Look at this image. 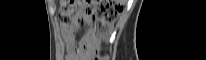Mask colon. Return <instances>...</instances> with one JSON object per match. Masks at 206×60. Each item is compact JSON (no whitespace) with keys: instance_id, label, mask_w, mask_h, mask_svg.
<instances>
[{"instance_id":"colon-1","label":"colon","mask_w":206,"mask_h":60,"mask_svg":"<svg viewBox=\"0 0 206 60\" xmlns=\"http://www.w3.org/2000/svg\"><path fill=\"white\" fill-rule=\"evenodd\" d=\"M80 0H62L60 6V18L64 23H69L79 19L83 14L98 15L97 35L87 38L77 50L83 59L102 60L100 56V39H107L113 29L114 23L121 10L117 0H97L88 1Z\"/></svg>"}]
</instances>
